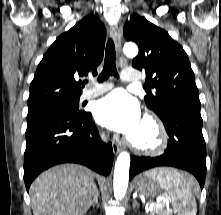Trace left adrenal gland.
I'll use <instances>...</instances> for the list:
<instances>
[{
  "instance_id": "1",
  "label": "left adrenal gland",
  "mask_w": 221,
  "mask_h": 215,
  "mask_svg": "<svg viewBox=\"0 0 221 215\" xmlns=\"http://www.w3.org/2000/svg\"><path fill=\"white\" fill-rule=\"evenodd\" d=\"M133 208H135L136 206H139L138 202L135 200V198H133V204H132Z\"/></svg>"
}]
</instances>
